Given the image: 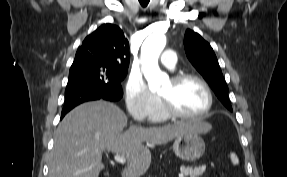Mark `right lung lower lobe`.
I'll use <instances>...</instances> for the list:
<instances>
[{
    "mask_svg": "<svg viewBox=\"0 0 287 177\" xmlns=\"http://www.w3.org/2000/svg\"><path fill=\"white\" fill-rule=\"evenodd\" d=\"M123 95L121 86L106 87L104 85L80 82L67 85L65 90V102L61 118L75 106L93 100H119Z\"/></svg>",
    "mask_w": 287,
    "mask_h": 177,
    "instance_id": "98d812e1",
    "label": "right lung lower lobe"
}]
</instances>
